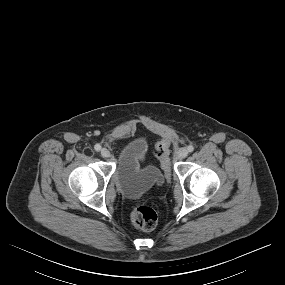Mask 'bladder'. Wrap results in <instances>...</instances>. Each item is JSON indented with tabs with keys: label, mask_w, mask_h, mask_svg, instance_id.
<instances>
[{
	"label": "bladder",
	"mask_w": 285,
	"mask_h": 285,
	"mask_svg": "<svg viewBox=\"0 0 285 285\" xmlns=\"http://www.w3.org/2000/svg\"><path fill=\"white\" fill-rule=\"evenodd\" d=\"M148 149V139L138 135L126 141L118 153L114 182L125 197H138L163 182L156 166L142 165Z\"/></svg>",
	"instance_id": "31cf9c89"
}]
</instances>
